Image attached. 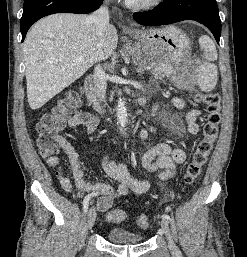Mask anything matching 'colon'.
Listing matches in <instances>:
<instances>
[{
  "label": "colon",
  "mask_w": 247,
  "mask_h": 257,
  "mask_svg": "<svg viewBox=\"0 0 247 257\" xmlns=\"http://www.w3.org/2000/svg\"><path fill=\"white\" fill-rule=\"evenodd\" d=\"M195 99L205 105L206 120L203 126L202 138L198 142L185 171L184 182L187 185L193 184L201 174L202 168L212 151L221 120L220 97L217 93H198ZM80 104L81 93L77 90H70L48 112L43 114L37 124V144L43 157L54 156L59 151L60 144L57 133L64 126L66 119L76 111ZM106 219L114 223L123 222L126 219V212L119 209L109 211ZM137 223L140 227L147 228L150 223V217L147 214H140L137 218Z\"/></svg>",
  "instance_id": "5ec220e1"
}]
</instances>
